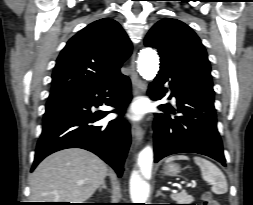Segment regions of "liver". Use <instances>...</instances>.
I'll return each instance as SVG.
<instances>
[{"mask_svg": "<svg viewBox=\"0 0 253 205\" xmlns=\"http://www.w3.org/2000/svg\"><path fill=\"white\" fill-rule=\"evenodd\" d=\"M107 165L91 152L71 148L45 158L30 177L33 202L83 203L101 186Z\"/></svg>", "mask_w": 253, "mask_h": 205, "instance_id": "1", "label": "liver"}]
</instances>
